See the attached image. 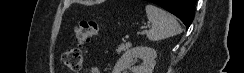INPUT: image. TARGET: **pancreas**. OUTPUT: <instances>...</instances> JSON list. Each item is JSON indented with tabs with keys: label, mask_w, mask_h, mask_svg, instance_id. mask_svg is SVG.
Returning <instances> with one entry per match:
<instances>
[{
	"label": "pancreas",
	"mask_w": 244,
	"mask_h": 73,
	"mask_svg": "<svg viewBox=\"0 0 244 73\" xmlns=\"http://www.w3.org/2000/svg\"><path fill=\"white\" fill-rule=\"evenodd\" d=\"M131 46V43L130 42H127V43H122L118 46L116 52L117 53H121L123 51H125L126 49H128L129 47Z\"/></svg>",
	"instance_id": "1"
}]
</instances>
